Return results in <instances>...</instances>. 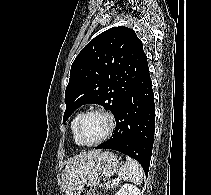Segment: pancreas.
Here are the masks:
<instances>
[{"instance_id": "cf45deb5", "label": "pancreas", "mask_w": 211, "mask_h": 195, "mask_svg": "<svg viewBox=\"0 0 211 195\" xmlns=\"http://www.w3.org/2000/svg\"><path fill=\"white\" fill-rule=\"evenodd\" d=\"M101 186H102V188H105V189H110V188L115 187V185L111 184L110 182H105Z\"/></svg>"}]
</instances>
